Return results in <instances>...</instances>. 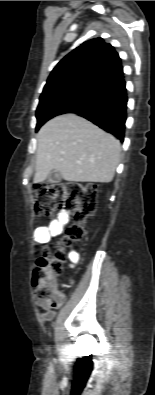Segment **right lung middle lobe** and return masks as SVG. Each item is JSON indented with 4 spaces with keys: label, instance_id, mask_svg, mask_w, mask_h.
I'll use <instances>...</instances> for the list:
<instances>
[{
    "label": "right lung middle lobe",
    "instance_id": "obj_1",
    "mask_svg": "<svg viewBox=\"0 0 155 395\" xmlns=\"http://www.w3.org/2000/svg\"><path fill=\"white\" fill-rule=\"evenodd\" d=\"M100 87L95 83L71 81L44 88L36 111V130L49 119L64 114L84 102Z\"/></svg>",
    "mask_w": 155,
    "mask_h": 395
}]
</instances>
